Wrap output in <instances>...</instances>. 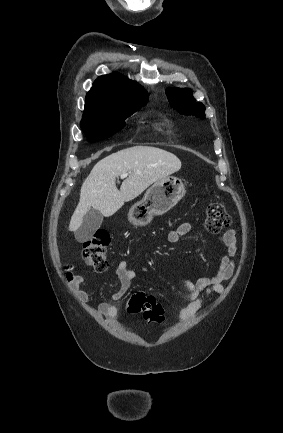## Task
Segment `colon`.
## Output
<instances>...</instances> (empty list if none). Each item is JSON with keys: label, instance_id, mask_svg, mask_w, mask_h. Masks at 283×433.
Masks as SVG:
<instances>
[{"label": "colon", "instance_id": "5ec220e1", "mask_svg": "<svg viewBox=\"0 0 283 433\" xmlns=\"http://www.w3.org/2000/svg\"><path fill=\"white\" fill-rule=\"evenodd\" d=\"M231 223V218L221 203L213 202L207 206L204 219L205 227L212 233L219 232ZM110 239L106 233H96L90 240L83 244V261L89 267L98 272L108 268L107 247ZM67 278L72 280L73 274L67 273ZM126 312L129 314H142L150 323L160 324L164 320L162 306L151 295L145 293L134 294L127 302Z\"/></svg>", "mask_w": 283, "mask_h": 433}]
</instances>
